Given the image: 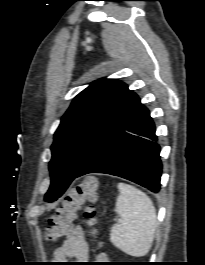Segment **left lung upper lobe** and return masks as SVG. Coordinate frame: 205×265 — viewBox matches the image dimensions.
<instances>
[{
  "mask_svg": "<svg viewBox=\"0 0 205 265\" xmlns=\"http://www.w3.org/2000/svg\"><path fill=\"white\" fill-rule=\"evenodd\" d=\"M139 97L117 79L92 82L72 101L51 146V185L45 200L59 198L83 166L129 120Z\"/></svg>",
  "mask_w": 205,
  "mask_h": 265,
  "instance_id": "obj_1",
  "label": "left lung upper lobe"
}]
</instances>
